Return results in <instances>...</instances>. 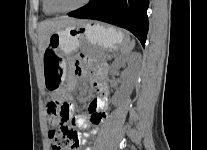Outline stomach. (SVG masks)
<instances>
[{"label": "stomach", "instance_id": "1", "mask_svg": "<svg viewBox=\"0 0 207 150\" xmlns=\"http://www.w3.org/2000/svg\"><path fill=\"white\" fill-rule=\"evenodd\" d=\"M129 42V36L120 29L97 22H84L53 32L43 50L44 77L48 89L61 87L66 77V58L72 56L83 43L89 46L93 59L103 61L108 52H114Z\"/></svg>", "mask_w": 207, "mask_h": 150}]
</instances>
